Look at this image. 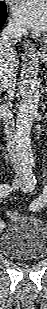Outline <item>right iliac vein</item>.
<instances>
[{
    "mask_svg": "<svg viewBox=\"0 0 47 309\" xmlns=\"http://www.w3.org/2000/svg\"><path fill=\"white\" fill-rule=\"evenodd\" d=\"M22 183H23L22 179H16L15 182H14V185L15 186H20Z\"/></svg>",
    "mask_w": 47,
    "mask_h": 309,
    "instance_id": "63e3f726",
    "label": "right iliac vein"
}]
</instances>
